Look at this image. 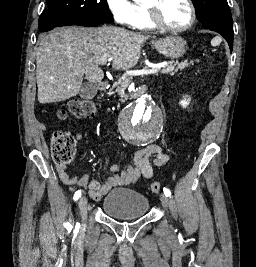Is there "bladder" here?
<instances>
[{
  "mask_svg": "<svg viewBox=\"0 0 256 267\" xmlns=\"http://www.w3.org/2000/svg\"><path fill=\"white\" fill-rule=\"evenodd\" d=\"M149 199L138 191L114 188L102 200V210L117 219L146 215Z\"/></svg>",
  "mask_w": 256,
  "mask_h": 267,
  "instance_id": "bladder-1",
  "label": "bladder"
}]
</instances>
